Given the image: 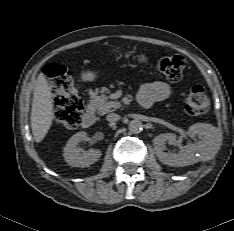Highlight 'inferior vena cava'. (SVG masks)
<instances>
[{
	"label": "inferior vena cava",
	"instance_id": "inferior-vena-cava-1",
	"mask_svg": "<svg viewBox=\"0 0 234 231\" xmlns=\"http://www.w3.org/2000/svg\"><path fill=\"white\" fill-rule=\"evenodd\" d=\"M107 121L114 123L120 119V115L116 113H110L106 116Z\"/></svg>",
	"mask_w": 234,
	"mask_h": 231
}]
</instances>
